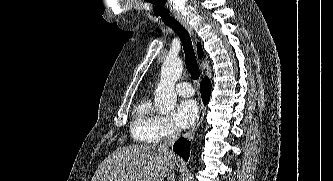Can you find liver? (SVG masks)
Here are the masks:
<instances>
[{"label": "liver", "instance_id": "6515ba94", "mask_svg": "<svg viewBox=\"0 0 333 181\" xmlns=\"http://www.w3.org/2000/svg\"><path fill=\"white\" fill-rule=\"evenodd\" d=\"M177 164L161 145L117 148L98 166L91 181H163Z\"/></svg>", "mask_w": 333, "mask_h": 181}]
</instances>
